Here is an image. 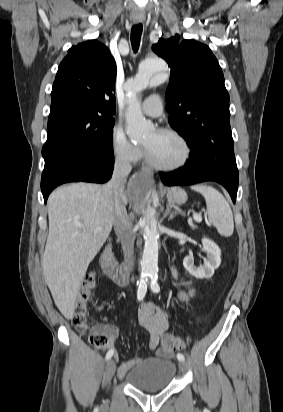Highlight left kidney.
<instances>
[{"mask_svg": "<svg viewBox=\"0 0 283 412\" xmlns=\"http://www.w3.org/2000/svg\"><path fill=\"white\" fill-rule=\"evenodd\" d=\"M203 251L207 253V260L202 267H196L192 256H186L183 260L185 269L196 278H210L221 263V250L212 240L203 238Z\"/></svg>", "mask_w": 283, "mask_h": 412, "instance_id": "1", "label": "left kidney"}]
</instances>
